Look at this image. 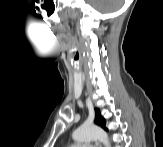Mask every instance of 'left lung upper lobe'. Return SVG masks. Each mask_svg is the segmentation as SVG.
<instances>
[{"instance_id": "obj_1", "label": "left lung upper lobe", "mask_w": 163, "mask_h": 147, "mask_svg": "<svg viewBox=\"0 0 163 147\" xmlns=\"http://www.w3.org/2000/svg\"><path fill=\"white\" fill-rule=\"evenodd\" d=\"M96 111V118H95V123L99 126H101L102 128H104L105 130H107L106 128V121L105 119L101 116L100 111L98 109H95Z\"/></svg>"}]
</instances>
